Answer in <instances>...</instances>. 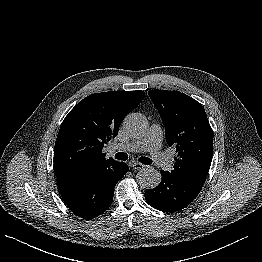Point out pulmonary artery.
<instances>
[{
    "label": "pulmonary artery",
    "instance_id": "1",
    "mask_svg": "<svg viewBox=\"0 0 262 262\" xmlns=\"http://www.w3.org/2000/svg\"><path fill=\"white\" fill-rule=\"evenodd\" d=\"M161 141L162 129L158 124H153L143 138L127 144H115L113 149L128 152L149 151L158 166L168 169L170 162L166 154L160 150Z\"/></svg>",
    "mask_w": 262,
    "mask_h": 262
}]
</instances>
